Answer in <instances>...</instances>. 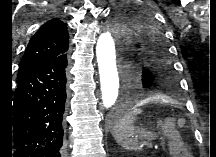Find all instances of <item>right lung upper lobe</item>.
Wrapping results in <instances>:
<instances>
[{
  "label": "right lung upper lobe",
  "mask_w": 216,
  "mask_h": 157,
  "mask_svg": "<svg viewBox=\"0 0 216 157\" xmlns=\"http://www.w3.org/2000/svg\"><path fill=\"white\" fill-rule=\"evenodd\" d=\"M69 46L66 24L51 19L31 37L20 64L18 78L49 60L65 55Z\"/></svg>",
  "instance_id": "1"
}]
</instances>
